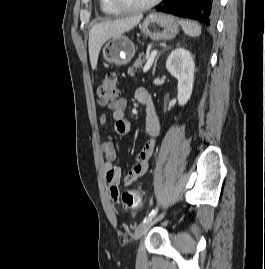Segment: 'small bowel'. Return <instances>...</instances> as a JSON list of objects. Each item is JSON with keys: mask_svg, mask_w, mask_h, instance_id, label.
Masks as SVG:
<instances>
[{"mask_svg": "<svg viewBox=\"0 0 265 269\" xmlns=\"http://www.w3.org/2000/svg\"><path fill=\"white\" fill-rule=\"evenodd\" d=\"M135 99L147 108L146 130L151 138L138 152L134 165L124 178L125 184L128 185L132 184L146 173L149 161L156 146V137L160 131V124L153 107L150 92L146 88H139L135 92ZM126 106L127 100L125 98H119L114 103L108 105V108L112 111V117L115 121V130L119 135H126L131 130V123L125 117ZM108 122L109 118L106 114H102L99 117V124L101 126H106ZM102 152L106 159L104 163L106 181L109 184L112 198L117 200L118 188L121 181V171L114 165V161L117 158V151L111 139L106 140L102 144Z\"/></svg>", "mask_w": 265, "mask_h": 269, "instance_id": "c3829d8e", "label": "small bowel"}]
</instances>
